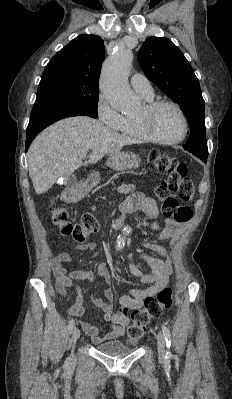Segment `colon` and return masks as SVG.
<instances>
[{"instance_id":"colon-1","label":"colon","mask_w":232,"mask_h":399,"mask_svg":"<svg viewBox=\"0 0 232 399\" xmlns=\"http://www.w3.org/2000/svg\"><path fill=\"white\" fill-rule=\"evenodd\" d=\"M152 163L151 167L156 168V172H166V186L159 185L155 189L158 203H164L162 212L165 218H177V222H188V218H192L190 207H183L182 203H178V198L182 202L190 200L191 196L197 195V186H193L189 181V175L185 168V163H179L175 157L161 155L158 151H153L149 155ZM184 180V181H179ZM166 196H178V198H164ZM57 223L62 226L60 231L69 239L77 240V244H85L88 236L99 232L97 222H94V215H81V222L71 220L67 211L59 209L55 212ZM161 294H170V289H161ZM145 301H170V296H145ZM148 308V310L146 309ZM164 308H169V303H144V308L132 313L131 318L133 324L130 325L129 333L123 337V342L134 347L137 338H143L144 325H149V320H157V316H161Z\"/></svg>"}]
</instances>
